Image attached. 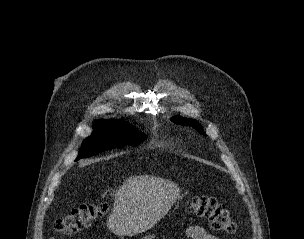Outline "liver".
I'll use <instances>...</instances> for the list:
<instances>
[{
  "label": "liver",
  "mask_w": 304,
  "mask_h": 239,
  "mask_svg": "<svg viewBox=\"0 0 304 239\" xmlns=\"http://www.w3.org/2000/svg\"><path fill=\"white\" fill-rule=\"evenodd\" d=\"M108 228L119 236H133L155 226L179 198L172 181L150 175L129 177L114 191Z\"/></svg>",
  "instance_id": "1"
}]
</instances>
